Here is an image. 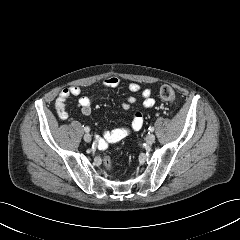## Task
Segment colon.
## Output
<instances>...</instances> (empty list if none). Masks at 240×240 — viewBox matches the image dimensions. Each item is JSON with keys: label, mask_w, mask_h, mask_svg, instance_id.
Instances as JSON below:
<instances>
[{"label": "colon", "mask_w": 240, "mask_h": 240, "mask_svg": "<svg viewBox=\"0 0 240 240\" xmlns=\"http://www.w3.org/2000/svg\"><path fill=\"white\" fill-rule=\"evenodd\" d=\"M159 93H160V97L163 100H165L167 102H171V103L175 101V92L171 86L163 85L160 88ZM103 164L108 169H110L112 167V161L109 156L105 155L103 157Z\"/></svg>", "instance_id": "1"}]
</instances>
